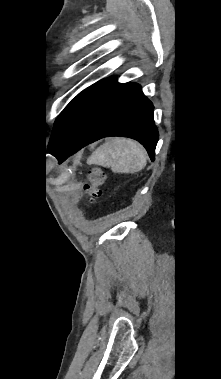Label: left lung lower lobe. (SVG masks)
I'll return each instance as SVG.
<instances>
[{
	"label": "left lung lower lobe",
	"mask_w": 221,
	"mask_h": 379,
	"mask_svg": "<svg viewBox=\"0 0 221 379\" xmlns=\"http://www.w3.org/2000/svg\"><path fill=\"white\" fill-rule=\"evenodd\" d=\"M108 136L138 140L154 161L158 131L153 120V105L139 85L114 81L54 156L61 163L87 144Z\"/></svg>",
	"instance_id": "0a47b994"
}]
</instances>
